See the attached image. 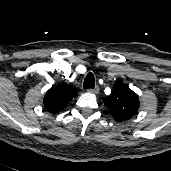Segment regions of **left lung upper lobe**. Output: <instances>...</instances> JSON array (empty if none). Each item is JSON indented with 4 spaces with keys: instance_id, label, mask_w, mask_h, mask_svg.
<instances>
[{
    "instance_id": "5c2ea615",
    "label": "left lung upper lobe",
    "mask_w": 171,
    "mask_h": 171,
    "mask_svg": "<svg viewBox=\"0 0 171 171\" xmlns=\"http://www.w3.org/2000/svg\"><path fill=\"white\" fill-rule=\"evenodd\" d=\"M116 121H127L138 112V96L121 81L115 83L111 94L103 99Z\"/></svg>"
}]
</instances>
